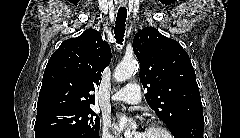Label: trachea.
Wrapping results in <instances>:
<instances>
[{
  "instance_id": "1",
  "label": "trachea",
  "mask_w": 240,
  "mask_h": 138,
  "mask_svg": "<svg viewBox=\"0 0 240 138\" xmlns=\"http://www.w3.org/2000/svg\"><path fill=\"white\" fill-rule=\"evenodd\" d=\"M126 18H127V9L125 7H120L117 13L115 28H114L116 42L120 45L124 41Z\"/></svg>"
}]
</instances>
